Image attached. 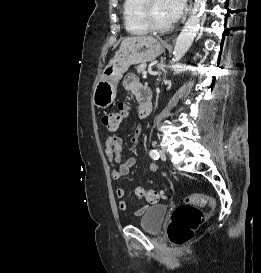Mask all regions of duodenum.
<instances>
[{"label": "duodenum", "instance_id": "1", "mask_svg": "<svg viewBox=\"0 0 261 273\" xmlns=\"http://www.w3.org/2000/svg\"><path fill=\"white\" fill-rule=\"evenodd\" d=\"M139 104H140L139 116L141 119H143L146 116H148V114L151 111L152 102H151V93L149 90L145 89L143 91V95L139 99Z\"/></svg>", "mask_w": 261, "mask_h": 273}]
</instances>
